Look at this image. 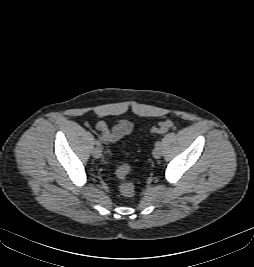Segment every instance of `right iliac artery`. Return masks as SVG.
Masks as SVG:
<instances>
[{
	"label": "right iliac artery",
	"instance_id": "obj_1",
	"mask_svg": "<svg viewBox=\"0 0 254 267\" xmlns=\"http://www.w3.org/2000/svg\"><path fill=\"white\" fill-rule=\"evenodd\" d=\"M95 144H96L97 146H100V145H101V143H100L99 140H96V141H95Z\"/></svg>",
	"mask_w": 254,
	"mask_h": 267
}]
</instances>
